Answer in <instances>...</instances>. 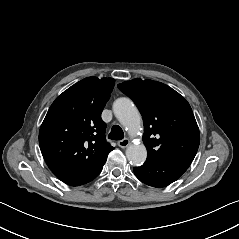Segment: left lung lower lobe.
<instances>
[{
    "label": "left lung lower lobe",
    "mask_w": 239,
    "mask_h": 239,
    "mask_svg": "<svg viewBox=\"0 0 239 239\" xmlns=\"http://www.w3.org/2000/svg\"><path fill=\"white\" fill-rule=\"evenodd\" d=\"M190 166L187 162L146 161L141 167H134V174L143 183L161 188L176 181Z\"/></svg>",
    "instance_id": "1"
}]
</instances>
